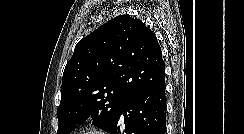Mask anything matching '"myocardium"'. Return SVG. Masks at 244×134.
Returning <instances> with one entry per match:
<instances>
[{"mask_svg": "<svg viewBox=\"0 0 244 134\" xmlns=\"http://www.w3.org/2000/svg\"><path fill=\"white\" fill-rule=\"evenodd\" d=\"M73 134H110L106 129L97 125H88Z\"/></svg>", "mask_w": 244, "mask_h": 134, "instance_id": "f54148a6", "label": "myocardium"}]
</instances>
